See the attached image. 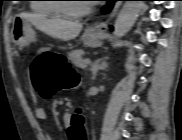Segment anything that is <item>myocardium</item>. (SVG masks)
<instances>
[{
	"label": "myocardium",
	"instance_id": "myocardium-1",
	"mask_svg": "<svg viewBox=\"0 0 182 140\" xmlns=\"http://www.w3.org/2000/svg\"><path fill=\"white\" fill-rule=\"evenodd\" d=\"M64 0H61L59 4H57V9L63 16L67 18H80L86 14H88L91 11V5L86 4L84 8L73 11L67 7V3L63 2Z\"/></svg>",
	"mask_w": 182,
	"mask_h": 140
}]
</instances>
